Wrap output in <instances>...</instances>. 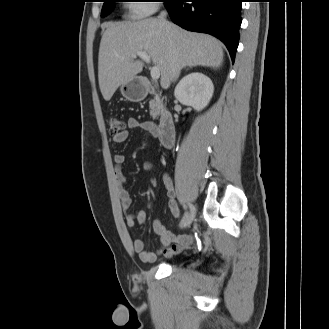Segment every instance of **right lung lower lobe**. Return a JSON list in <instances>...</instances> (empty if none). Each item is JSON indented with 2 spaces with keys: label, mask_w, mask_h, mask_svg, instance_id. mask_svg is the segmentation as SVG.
<instances>
[{
  "label": "right lung lower lobe",
  "mask_w": 329,
  "mask_h": 329,
  "mask_svg": "<svg viewBox=\"0 0 329 329\" xmlns=\"http://www.w3.org/2000/svg\"><path fill=\"white\" fill-rule=\"evenodd\" d=\"M191 1V2H186ZM242 0H166L171 20L184 29L220 39L232 61L239 41Z\"/></svg>",
  "instance_id": "1"
}]
</instances>
